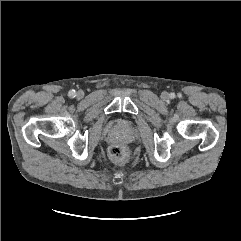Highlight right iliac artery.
<instances>
[{
    "mask_svg": "<svg viewBox=\"0 0 241 241\" xmlns=\"http://www.w3.org/2000/svg\"><path fill=\"white\" fill-rule=\"evenodd\" d=\"M69 97L73 98L76 96V92L75 90H70L69 93H68Z\"/></svg>",
    "mask_w": 241,
    "mask_h": 241,
    "instance_id": "82829eb1",
    "label": "right iliac artery"
}]
</instances>
